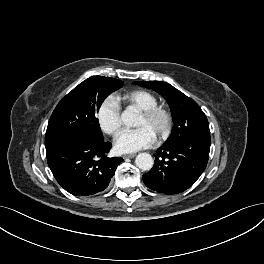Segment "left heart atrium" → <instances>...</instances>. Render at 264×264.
I'll list each match as a JSON object with an SVG mask.
<instances>
[{
  "instance_id": "39dd6f15",
  "label": "left heart atrium",
  "mask_w": 264,
  "mask_h": 264,
  "mask_svg": "<svg viewBox=\"0 0 264 264\" xmlns=\"http://www.w3.org/2000/svg\"><path fill=\"white\" fill-rule=\"evenodd\" d=\"M156 136L147 128L122 131L115 140V150L121 154L134 153L154 144Z\"/></svg>"
}]
</instances>
